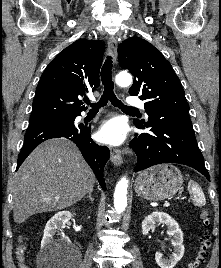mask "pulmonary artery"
I'll return each instance as SVG.
<instances>
[{
	"instance_id": "1",
	"label": "pulmonary artery",
	"mask_w": 221,
	"mask_h": 268,
	"mask_svg": "<svg viewBox=\"0 0 221 268\" xmlns=\"http://www.w3.org/2000/svg\"><path fill=\"white\" fill-rule=\"evenodd\" d=\"M128 104L132 107H138V108H141V109H144V102L141 101L140 99L138 98H129L128 99Z\"/></svg>"
}]
</instances>
